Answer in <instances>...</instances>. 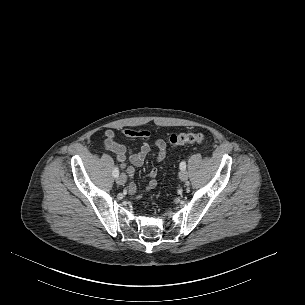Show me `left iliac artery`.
I'll return each instance as SVG.
<instances>
[{"label":"left iliac artery","mask_w":305,"mask_h":305,"mask_svg":"<svg viewBox=\"0 0 305 305\" xmlns=\"http://www.w3.org/2000/svg\"><path fill=\"white\" fill-rule=\"evenodd\" d=\"M180 169L183 170L186 168V162L185 161H182L179 165Z\"/></svg>","instance_id":"44dca946"}]
</instances>
